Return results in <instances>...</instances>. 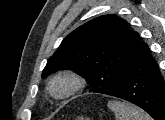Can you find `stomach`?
<instances>
[{"label":"stomach","mask_w":165,"mask_h":120,"mask_svg":"<svg viewBox=\"0 0 165 120\" xmlns=\"http://www.w3.org/2000/svg\"><path fill=\"white\" fill-rule=\"evenodd\" d=\"M77 120H84L83 117H79ZM85 120H88V119H85Z\"/></svg>","instance_id":"0dacf381"}]
</instances>
